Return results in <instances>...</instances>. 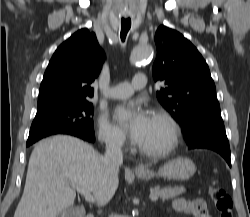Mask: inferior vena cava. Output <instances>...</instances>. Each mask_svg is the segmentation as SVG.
<instances>
[{
    "instance_id": "obj_1",
    "label": "inferior vena cava",
    "mask_w": 250,
    "mask_h": 217,
    "mask_svg": "<svg viewBox=\"0 0 250 217\" xmlns=\"http://www.w3.org/2000/svg\"><path fill=\"white\" fill-rule=\"evenodd\" d=\"M104 163L115 173H118L120 166L123 163V153L121 144L115 139H111L106 143V152ZM113 217V216H111Z\"/></svg>"
}]
</instances>
